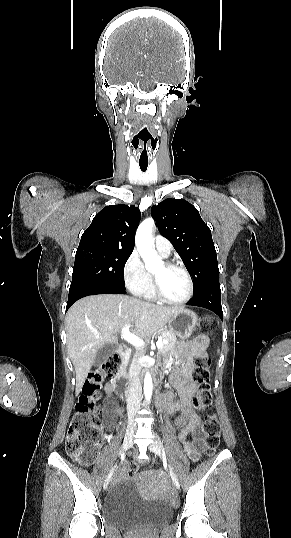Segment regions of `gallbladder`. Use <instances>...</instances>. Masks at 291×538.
Instances as JSON below:
<instances>
[{
    "instance_id": "1",
    "label": "gallbladder",
    "mask_w": 291,
    "mask_h": 538,
    "mask_svg": "<svg viewBox=\"0 0 291 538\" xmlns=\"http://www.w3.org/2000/svg\"><path fill=\"white\" fill-rule=\"evenodd\" d=\"M116 349V343L104 344V346L97 351L93 365L99 366L104 363Z\"/></svg>"
}]
</instances>
